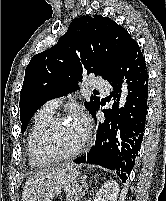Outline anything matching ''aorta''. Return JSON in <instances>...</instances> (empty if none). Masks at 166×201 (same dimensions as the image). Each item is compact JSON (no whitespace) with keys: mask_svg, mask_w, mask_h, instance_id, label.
<instances>
[{"mask_svg":"<svg viewBox=\"0 0 166 201\" xmlns=\"http://www.w3.org/2000/svg\"><path fill=\"white\" fill-rule=\"evenodd\" d=\"M126 97H127V84L123 83L122 85V93H121V98H120V102H119V108L124 107L125 102H126Z\"/></svg>","mask_w":166,"mask_h":201,"instance_id":"obj_1","label":"aorta"}]
</instances>
